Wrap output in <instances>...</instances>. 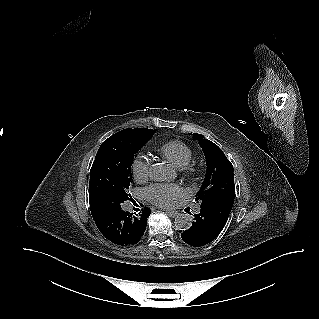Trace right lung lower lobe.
Wrapping results in <instances>:
<instances>
[{"mask_svg":"<svg viewBox=\"0 0 319 319\" xmlns=\"http://www.w3.org/2000/svg\"><path fill=\"white\" fill-rule=\"evenodd\" d=\"M123 202L98 200L90 203L92 217L99 231L117 245L128 246L138 243L146 230L147 218L151 214L148 207L138 214L122 209Z\"/></svg>","mask_w":319,"mask_h":319,"instance_id":"98d812e1","label":"right lung lower lobe"}]
</instances>
